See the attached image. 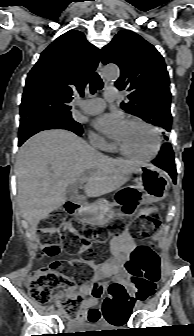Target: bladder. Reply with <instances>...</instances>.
<instances>
[{"label":"bladder","instance_id":"bladder-1","mask_svg":"<svg viewBox=\"0 0 194 336\" xmlns=\"http://www.w3.org/2000/svg\"><path fill=\"white\" fill-rule=\"evenodd\" d=\"M87 328V324L84 322L73 321L70 326L67 328L71 331H79Z\"/></svg>","mask_w":194,"mask_h":336}]
</instances>
